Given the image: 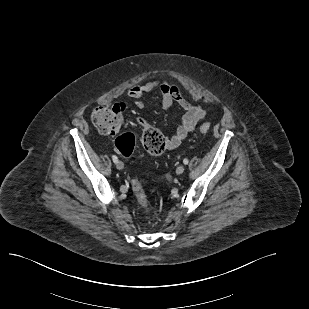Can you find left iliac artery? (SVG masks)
<instances>
[{"mask_svg": "<svg viewBox=\"0 0 309 309\" xmlns=\"http://www.w3.org/2000/svg\"><path fill=\"white\" fill-rule=\"evenodd\" d=\"M188 162H189L188 159H184V160H183V163H184L185 165H187Z\"/></svg>", "mask_w": 309, "mask_h": 309, "instance_id": "left-iliac-artery-1", "label": "left iliac artery"}]
</instances>
